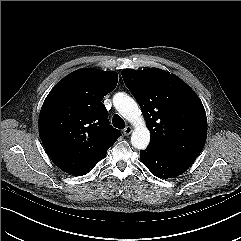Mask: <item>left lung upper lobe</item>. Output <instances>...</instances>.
I'll return each mask as SVG.
<instances>
[{
	"instance_id": "left-lung-upper-lobe-1",
	"label": "left lung upper lobe",
	"mask_w": 241,
	"mask_h": 241,
	"mask_svg": "<svg viewBox=\"0 0 241 241\" xmlns=\"http://www.w3.org/2000/svg\"><path fill=\"white\" fill-rule=\"evenodd\" d=\"M122 77L146 118L151 133L149 146L196 159L207 135L206 113L196 93L181 79L160 69H126Z\"/></svg>"
}]
</instances>
